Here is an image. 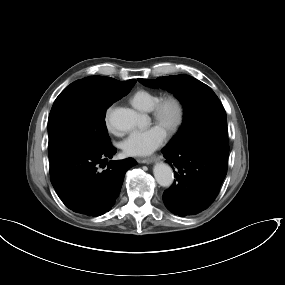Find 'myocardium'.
Here are the masks:
<instances>
[{"label": "myocardium", "instance_id": "myocardium-1", "mask_svg": "<svg viewBox=\"0 0 285 285\" xmlns=\"http://www.w3.org/2000/svg\"><path fill=\"white\" fill-rule=\"evenodd\" d=\"M172 105L176 110L174 120L165 126V130L169 135H174L182 127L185 120V105L182 99L175 95L169 94L161 97L151 109L153 120L159 124L164 121V113L166 108Z\"/></svg>", "mask_w": 285, "mask_h": 285}]
</instances>
